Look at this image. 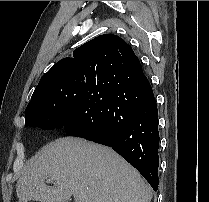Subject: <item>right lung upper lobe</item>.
<instances>
[{"label":"right lung upper lobe","mask_w":209,"mask_h":202,"mask_svg":"<svg viewBox=\"0 0 209 202\" xmlns=\"http://www.w3.org/2000/svg\"><path fill=\"white\" fill-rule=\"evenodd\" d=\"M137 59L132 48L120 37L113 34L100 35L73 51V58H63L57 62L40 80L32 97L49 78L68 74H90L101 77L110 69L125 70L130 61ZM32 98L28 104H32ZM30 120L25 118V126Z\"/></svg>","instance_id":"cb5924a9"}]
</instances>
